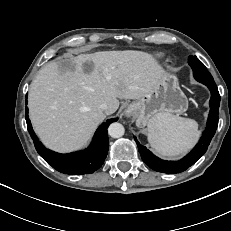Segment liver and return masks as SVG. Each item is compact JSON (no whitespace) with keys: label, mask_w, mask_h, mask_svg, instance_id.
I'll return each mask as SVG.
<instances>
[{"label":"liver","mask_w":231,"mask_h":231,"mask_svg":"<svg viewBox=\"0 0 231 231\" xmlns=\"http://www.w3.org/2000/svg\"><path fill=\"white\" fill-rule=\"evenodd\" d=\"M164 74L151 54L135 50L80 54L50 62L31 83L30 119L46 147L61 153L80 149L107 116L99 109L102 103L114 113L118 98L141 99Z\"/></svg>","instance_id":"1"}]
</instances>
